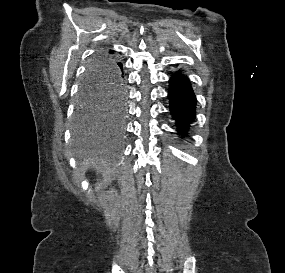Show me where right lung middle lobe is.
I'll return each mask as SVG.
<instances>
[{"mask_svg":"<svg viewBox=\"0 0 285 273\" xmlns=\"http://www.w3.org/2000/svg\"><path fill=\"white\" fill-rule=\"evenodd\" d=\"M123 81L117 75L113 59L104 53H98L90 62L79 87L76 128L83 131L88 126L91 114L108 96H119ZM123 112L116 110L121 117Z\"/></svg>","mask_w":285,"mask_h":273,"instance_id":"dd1d6c3e","label":"right lung middle lobe"}]
</instances>
